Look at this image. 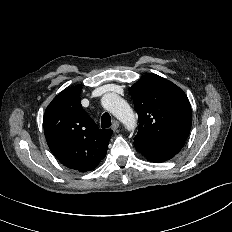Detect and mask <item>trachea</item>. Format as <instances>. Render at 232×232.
I'll return each mask as SVG.
<instances>
[{"mask_svg":"<svg viewBox=\"0 0 232 232\" xmlns=\"http://www.w3.org/2000/svg\"><path fill=\"white\" fill-rule=\"evenodd\" d=\"M111 126V116L108 113H104L101 117V127L109 128Z\"/></svg>","mask_w":232,"mask_h":232,"instance_id":"1","label":"trachea"}]
</instances>
